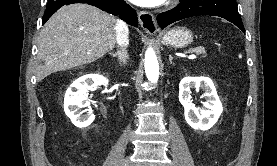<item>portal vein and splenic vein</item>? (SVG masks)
<instances>
[{
	"label": "portal vein and splenic vein",
	"instance_id": "18ae733b",
	"mask_svg": "<svg viewBox=\"0 0 277 166\" xmlns=\"http://www.w3.org/2000/svg\"><path fill=\"white\" fill-rule=\"evenodd\" d=\"M188 58H189V59H195V58H196V55H195V54H191Z\"/></svg>",
	"mask_w": 277,
	"mask_h": 166
}]
</instances>
